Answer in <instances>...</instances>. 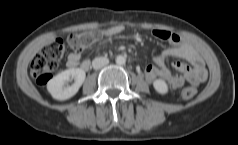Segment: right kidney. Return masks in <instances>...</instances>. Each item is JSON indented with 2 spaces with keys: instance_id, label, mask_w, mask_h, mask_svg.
I'll list each match as a JSON object with an SVG mask.
<instances>
[{
  "instance_id": "obj_1",
  "label": "right kidney",
  "mask_w": 238,
  "mask_h": 145,
  "mask_svg": "<svg viewBox=\"0 0 238 145\" xmlns=\"http://www.w3.org/2000/svg\"><path fill=\"white\" fill-rule=\"evenodd\" d=\"M85 77V71L80 68L64 70L48 81L47 90L54 99L61 101L67 100L78 92ZM72 79L74 83L71 86L66 85Z\"/></svg>"
}]
</instances>
